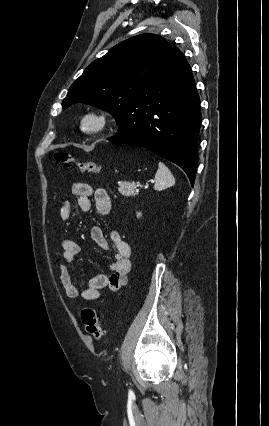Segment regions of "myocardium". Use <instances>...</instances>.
I'll use <instances>...</instances> for the list:
<instances>
[{"mask_svg": "<svg viewBox=\"0 0 269 426\" xmlns=\"http://www.w3.org/2000/svg\"><path fill=\"white\" fill-rule=\"evenodd\" d=\"M111 124V117L101 110H91L81 119V129L88 134H97L105 131Z\"/></svg>", "mask_w": 269, "mask_h": 426, "instance_id": "obj_1", "label": "myocardium"}]
</instances>
